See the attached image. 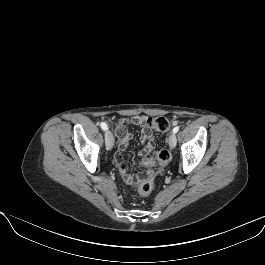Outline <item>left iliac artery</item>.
I'll return each mask as SVG.
<instances>
[{"label":"left iliac artery","instance_id":"44dca946","mask_svg":"<svg viewBox=\"0 0 265 265\" xmlns=\"http://www.w3.org/2000/svg\"><path fill=\"white\" fill-rule=\"evenodd\" d=\"M179 126H176V127H174V129H173V133L175 134V133H177L178 131H179Z\"/></svg>","mask_w":265,"mask_h":265}]
</instances>
